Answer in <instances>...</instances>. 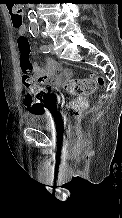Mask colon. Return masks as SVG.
<instances>
[{
  "instance_id": "1",
  "label": "colon",
  "mask_w": 122,
  "mask_h": 218,
  "mask_svg": "<svg viewBox=\"0 0 122 218\" xmlns=\"http://www.w3.org/2000/svg\"><path fill=\"white\" fill-rule=\"evenodd\" d=\"M12 24L16 29L23 26V9L15 0L8 3ZM17 47L20 55V67L22 71V82L30 91L25 97V105L31 112H40L41 107L34 101V96L44 97L46 86L37 82L32 73V63L30 60V42L25 34H19L17 37ZM105 84L104 78L93 73L90 78L70 79L65 83L66 91L75 96L71 100L65 110L64 116L69 128L80 118L82 113L87 109L89 101L87 96L94 93L98 88Z\"/></svg>"
}]
</instances>
